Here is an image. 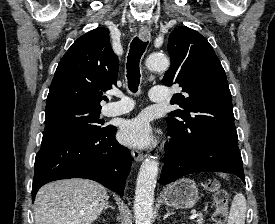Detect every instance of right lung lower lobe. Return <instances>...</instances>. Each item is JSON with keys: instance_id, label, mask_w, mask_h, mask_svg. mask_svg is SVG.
I'll return each mask as SVG.
<instances>
[{"instance_id": "right-lung-lower-lobe-1", "label": "right lung lower lobe", "mask_w": 275, "mask_h": 224, "mask_svg": "<svg viewBox=\"0 0 275 224\" xmlns=\"http://www.w3.org/2000/svg\"><path fill=\"white\" fill-rule=\"evenodd\" d=\"M107 127L101 134L43 133L35 158L32 202L44 184L67 178L91 179L123 196L130 153L116 141V127Z\"/></svg>"}]
</instances>
